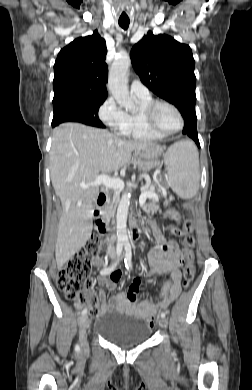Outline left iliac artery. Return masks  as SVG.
Masks as SVG:
<instances>
[{"label": "left iliac artery", "instance_id": "44dca946", "mask_svg": "<svg viewBox=\"0 0 252 390\" xmlns=\"http://www.w3.org/2000/svg\"><path fill=\"white\" fill-rule=\"evenodd\" d=\"M124 247H125V258H124V262H125V267L127 269H132V262H131V259H132V251H131V245L130 243H125L124 244ZM165 313L164 312H161V317L162 318H165Z\"/></svg>", "mask_w": 252, "mask_h": 390}]
</instances>
